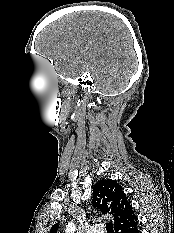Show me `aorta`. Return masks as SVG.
I'll use <instances>...</instances> for the list:
<instances>
[{
    "label": "aorta",
    "mask_w": 174,
    "mask_h": 233,
    "mask_svg": "<svg viewBox=\"0 0 174 233\" xmlns=\"http://www.w3.org/2000/svg\"><path fill=\"white\" fill-rule=\"evenodd\" d=\"M76 230V226L73 222H69L67 225H66V228H65V233H74Z\"/></svg>",
    "instance_id": "1"
}]
</instances>
